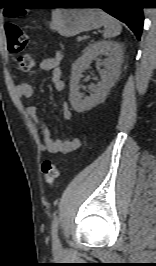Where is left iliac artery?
<instances>
[{
	"mask_svg": "<svg viewBox=\"0 0 156 266\" xmlns=\"http://www.w3.org/2000/svg\"><path fill=\"white\" fill-rule=\"evenodd\" d=\"M58 227H59V219L58 216H55L52 222V237L58 242Z\"/></svg>",
	"mask_w": 156,
	"mask_h": 266,
	"instance_id": "1",
	"label": "left iliac artery"
}]
</instances>
